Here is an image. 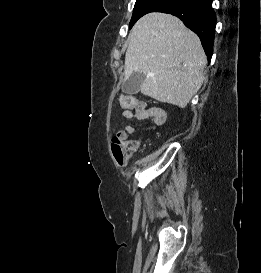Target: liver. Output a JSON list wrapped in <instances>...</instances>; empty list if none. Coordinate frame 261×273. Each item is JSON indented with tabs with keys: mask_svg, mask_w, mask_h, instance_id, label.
Segmentation results:
<instances>
[{
	"mask_svg": "<svg viewBox=\"0 0 261 273\" xmlns=\"http://www.w3.org/2000/svg\"><path fill=\"white\" fill-rule=\"evenodd\" d=\"M207 58L199 37L175 16L152 12L129 35L124 80L133 72L145 79L141 93L185 108L201 88Z\"/></svg>",
	"mask_w": 261,
	"mask_h": 273,
	"instance_id": "6515ba94",
	"label": "liver"
}]
</instances>
